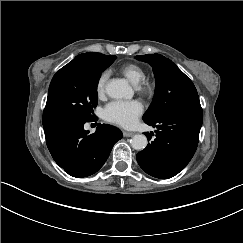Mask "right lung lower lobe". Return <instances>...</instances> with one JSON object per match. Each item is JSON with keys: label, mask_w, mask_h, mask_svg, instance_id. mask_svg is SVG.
<instances>
[{"label": "right lung lower lobe", "mask_w": 243, "mask_h": 243, "mask_svg": "<svg viewBox=\"0 0 243 243\" xmlns=\"http://www.w3.org/2000/svg\"><path fill=\"white\" fill-rule=\"evenodd\" d=\"M94 119L69 117L43 126L53 159L73 177H87L97 172L114 144L122 138L118 128L106 124H99L96 132L88 135L84 124Z\"/></svg>", "instance_id": "obj_1"}]
</instances>
